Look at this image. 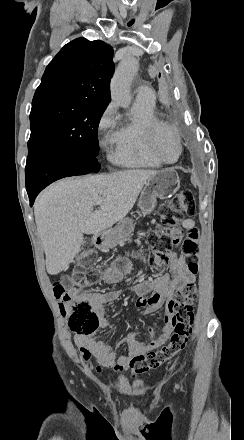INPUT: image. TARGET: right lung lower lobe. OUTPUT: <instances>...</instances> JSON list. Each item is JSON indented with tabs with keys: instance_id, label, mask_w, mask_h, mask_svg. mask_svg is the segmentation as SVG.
Instances as JSON below:
<instances>
[{
	"instance_id": "98d812e1",
	"label": "right lung lower lobe",
	"mask_w": 244,
	"mask_h": 440,
	"mask_svg": "<svg viewBox=\"0 0 244 440\" xmlns=\"http://www.w3.org/2000/svg\"><path fill=\"white\" fill-rule=\"evenodd\" d=\"M97 158H82L73 153L43 147L29 150L25 174L26 190L33 205L36 196L52 182L69 176L98 172Z\"/></svg>"
}]
</instances>
